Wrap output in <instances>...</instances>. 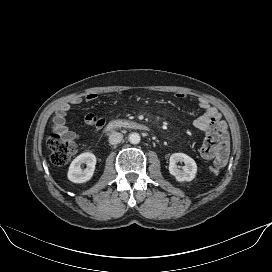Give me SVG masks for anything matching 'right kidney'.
Returning <instances> with one entry per match:
<instances>
[{
	"mask_svg": "<svg viewBox=\"0 0 272 272\" xmlns=\"http://www.w3.org/2000/svg\"><path fill=\"white\" fill-rule=\"evenodd\" d=\"M82 164H87L85 169ZM96 157L93 153L85 152L77 156L70 164L68 169V179L74 183H84L89 181L95 170Z\"/></svg>",
	"mask_w": 272,
	"mask_h": 272,
	"instance_id": "right-kidney-1",
	"label": "right kidney"
}]
</instances>
